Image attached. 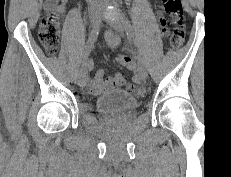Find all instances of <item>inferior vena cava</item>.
Here are the masks:
<instances>
[{
	"mask_svg": "<svg viewBox=\"0 0 231 177\" xmlns=\"http://www.w3.org/2000/svg\"><path fill=\"white\" fill-rule=\"evenodd\" d=\"M103 0H88L90 3H95V2H102Z\"/></svg>",
	"mask_w": 231,
	"mask_h": 177,
	"instance_id": "obj_1",
	"label": "inferior vena cava"
}]
</instances>
